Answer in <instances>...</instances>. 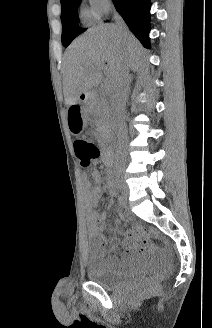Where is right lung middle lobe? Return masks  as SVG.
<instances>
[{
  "label": "right lung middle lobe",
  "instance_id": "1",
  "mask_svg": "<svg viewBox=\"0 0 212 328\" xmlns=\"http://www.w3.org/2000/svg\"><path fill=\"white\" fill-rule=\"evenodd\" d=\"M81 0H61V22H62V44L67 47L85 28H80L77 24V7Z\"/></svg>",
  "mask_w": 212,
  "mask_h": 328
}]
</instances>
